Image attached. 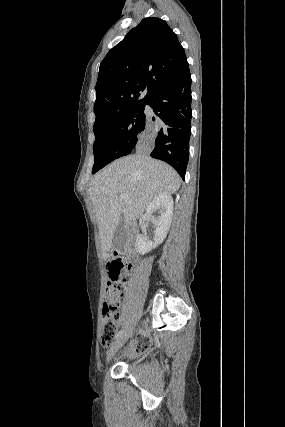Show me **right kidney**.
Listing matches in <instances>:
<instances>
[{"mask_svg": "<svg viewBox=\"0 0 285 427\" xmlns=\"http://www.w3.org/2000/svg\"><path fill=\"white\" fill-rule=\"evenodd\" d=\"M173 198L170 194L157 196L146 208V216L154 224V239L151 241L143 235L136 238V250L144 255L161 244L167 236L173 215ZM160 214L157 218L152 216L153 212Z\"/></svg>", "mask_w": 285, "mask_h": 427, "instance_id": "obj_1", "label": "right kidney"}]
</instances>
